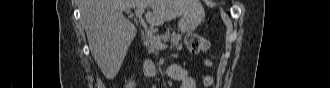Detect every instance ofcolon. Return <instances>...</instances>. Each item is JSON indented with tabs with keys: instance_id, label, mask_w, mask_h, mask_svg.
Instances as JSON below:
<instances>
[{
	"instance_id": "colon-1",
	"label": "colon",
	"mask_w": 330,
	"mask_h": 88,
	"mask_svg": "<svg viewBox=\"0 0 330 88\" xmlns=\"http://www.w3.org/2000/svg\"><path fill=\"white\" fill-rule=\"evenodd\" d=\"M186 45L188 50L193 54L204 53L209 49V41L198 34H190L186 37ZM206 84H210V80H206Z\"/></svg>"
}]
</instances>
